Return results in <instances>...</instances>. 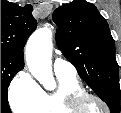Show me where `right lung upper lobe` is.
<instances>
[{
  "mask_svg": "<svg viewBox=\"0 0 121 113\" xmlns=\"http://www.w3.org/2000/svg\"><path fill=\"white\" fill-rule=\"evenodd\" d=\"M32 10L29 4L20 7L1 0V56L24 64V45L37 26Z\"/></svg>",
  "mask_w": 121,
  "mask_h": 113,
  "instance_id": "obj_1",
  "label": "right lung upper lobe"
}]
</instances>
